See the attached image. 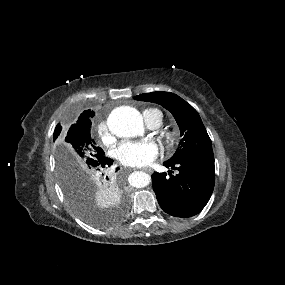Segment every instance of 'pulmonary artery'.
Wrapping results in <instances>:
<instances>
[{"label":"pulmonary artery","instance_id":"e3ab8cb5","mask_svg":"<svg viewBox=\"0 0 285 285\" xmlns=\"http://www.w3.org/2000/svg\"><path fill=\"white\" fill-rule=\"evenodd\" d=\"M147 124L152 129L157 128L160 125L158 122H149Z\"/></svg>","mask_w":285,"mask_h":285}]
</instances>
